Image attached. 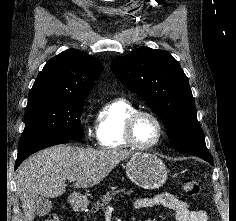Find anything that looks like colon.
<instances>
[{
  "label": "colon",
  "mask_w": 236,
  "mask_h": 221,
  "mask_svg": "<svg viewBox=\"0 0 236 221\" xmlns=\"http://www.w3.org/2000/svg\"><path fill=\"white\" fill-rule=\"evenodd\" d=\"M183 189L188 197H195L200 192V185L196 180L188 178L184 181ZM42 221H61V220L59 217L51 215L44 218Z\"/></svg>",
  "instance_id": "obj_1"
}]
</instances>
